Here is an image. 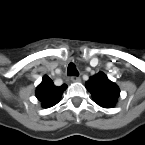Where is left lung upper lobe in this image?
Wrapping results in <instances>:
<instances>
[{"label": "left lung upper lobe", "mask_w": 145, "mask_h": 145, "mask_svg": "<svg viewBox=\"0 0 145 145\" xmlns=\"http://www.w3.org/2000/svg\"><path fill=\"white\" fill-rule=\"evenodd\" d=\"M86 88L94 101L101 107L111 108L120 95L118 86L111 82L103 72H99L86 82Z\"/></svg>", "instance_id": "left-lung-upper-lobe-1"}]
</instances>
